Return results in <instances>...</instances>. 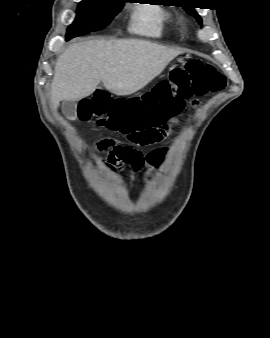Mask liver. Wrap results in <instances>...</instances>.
<instances>
[{
    "label": "liver",
    "instance_id": "6515ba94",
    "mask_svg": "<svg viewBox=\"0 0 270 338\" xmlns=\"http://www.w3.org/2000/svg\"><path fill=\"white\" fill-rule=\"evenodd\" d=\"M181 54L139 39L89 40L74 43L59 56L51 84V103L78 101L92 94L100 82L119 96L144 88Z\"/></svg>",
    "mask_w": 270,
    "mask_h": 338
}]
</instances>
